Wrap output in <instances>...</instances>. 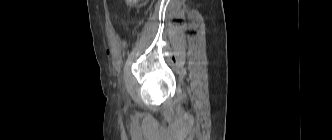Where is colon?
Here are the masks:
<instances>
[{
    "label": "colon",
    "instance_id": "1",
    "mask_svg": "<svg viewBox=\"0 0 332 140\" xmlns=\"http://www.w3.org/2000/svg\"><path fill=\"white\" fill-rule=\"evenodd\" d=\"M129 5H136L140 0H126Z\"/></svg>",
    "mask_w": 332,
    "mask_h": 140
}]
</instances>
